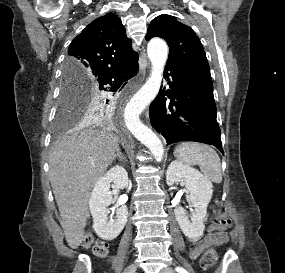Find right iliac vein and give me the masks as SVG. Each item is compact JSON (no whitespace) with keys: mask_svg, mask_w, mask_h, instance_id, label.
<instances>
[{"mask_svg":"<svg viewBox=\"0 0 285 273\" xmlns=\"http://www.w3.org/2000/svg\"><path fill=\"white\" fill-rule=\"evenodd\" d=\"M136 269H137L136 264H131L124 270L123 273H135Z\"/></svg>","mask_w":285,"mask_h":273,"instance_id":"1","label":"right iliac vein"}]
</instances>
